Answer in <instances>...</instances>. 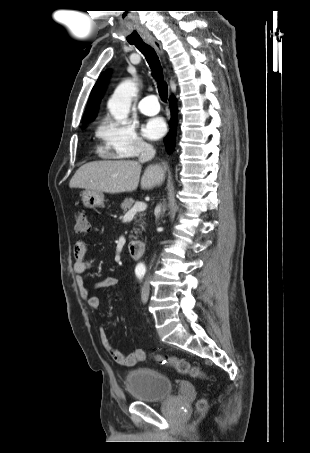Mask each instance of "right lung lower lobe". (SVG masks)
<instances>
[{
  "instance_id": "1",
  "label": "right lung lower lobe",
  "mask_w": 310,
  "mask_h": 453,
  "mask_svg": "<svg viewBox=\"0 0 310 453\" xmlns=\"http://www.w3.org/2000/svg\"><path fill=\"white\" fill-rule=\"evenodd\" d=\"M169 106L171 110V121H170V131L169 134L165 137V143L168 148L173 147L174 140L176 136V127H177V103L174 96H171L169 99Z\"/></svg>"
}]
</instances>
